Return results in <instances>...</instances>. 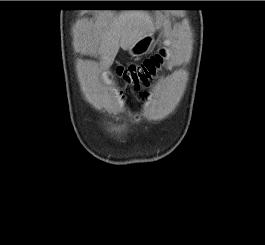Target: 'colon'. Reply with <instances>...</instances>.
<instances>
[{"label": "colon", "instance_id": "1", "mask_svg": "<svg viewBox=\"0 0 265 245\" xmlns=\"http://www.w3.org/2000/svg\"><path fill=\"white\" fill-rule=\"evenodd\" d=\"M164 57L165 52H162L137 64L121 65L116 73L128 86L140 90L155 78Z\"/></svg>", "mask_w": 265, "mask_h": 245}]
</instances>
